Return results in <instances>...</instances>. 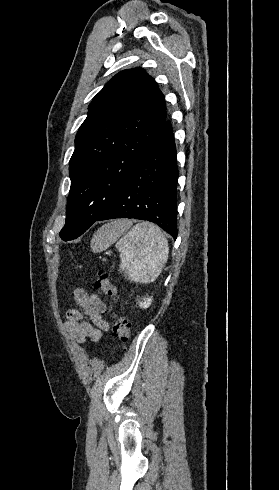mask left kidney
<instances>
[{"instance_id":"left-kidney-1","label":"left kidney","mask_w":279,"mask_h":490,"mask_svg":"<svg viewBox=\"0 0 279 490\" xmlns=\"http://www.w3.org/2000/svg\"><path fill=\"white\" fill-rule=\"evenodd\" d=\"M141 300H143V302H138L139 308H144V310H146V308L151 306L152 298H141Z\"/></svg>"}]
</instances>
